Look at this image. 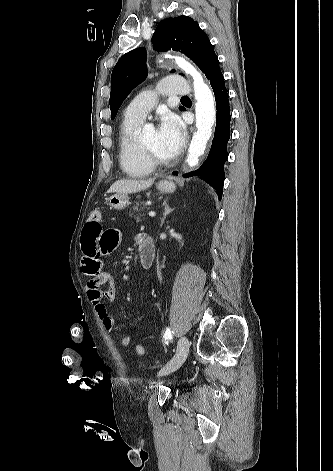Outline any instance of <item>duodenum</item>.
Wrapping results in <instances>:
<instances>
[{"label": "duodenum", "instance_id": "duodenum-1", "mask_svg": "<svg viewBox=\"0 0 333 471\" xmlns=\"http://www.w3.org/2000/svg\"><path fill=\"white\" fill-rule=\"evenodd\" d=\"M139 250L140 266L144 269L150 268L155 258V247L153 241L150 238L144 239L139 245Z\"/></svg>", "mask_w": 333, "mask_h": 471}]
</instances>
